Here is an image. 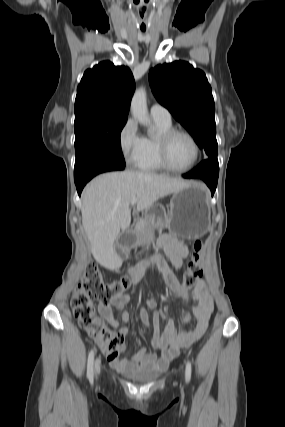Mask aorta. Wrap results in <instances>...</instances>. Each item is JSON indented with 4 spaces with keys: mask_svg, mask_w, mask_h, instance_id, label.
Wrapping results in <instances>:
<instances>
[{
    "mask_svg": "<svg viewBox=\"0 0 285 427\" xmlns=\"http://www.w3.org/2000/svg\"><path fill=\"white\" fill-rule=\"evenodd\" d=\"M131 112L140 124L148 127L149 132L152 130V124L148 115L146 91L143 87L137 89L132 97Z\"/></svg>",
    "mask_w": 285,
    "mask_h": 427,
    "instance_id": "1",
    "label": "aorta"
}]
</instances>
